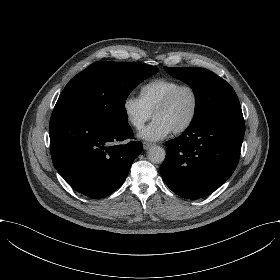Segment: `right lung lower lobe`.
Returning a JSON list of instances; mask_svg holds the SVG:
<instances>
[{
	"instance_id": "98d812e1",
	"label": "right lung lower lobe",
	"mask_w": 280,
	"mask_h": 280,
	"mask_svg": "<svg viewBox=\"0 0 280 280\" xmlns=\"http://www.w3.org/2000/svg\"><path fill=\"white\" fill-rule=\"evenodd\" d=\"M52 161L70 186L90 198H102L126 179L142 143L132 141L128 122H101L72 112L52 113L49 124Z\"/></svg>"
}]
</instances>
